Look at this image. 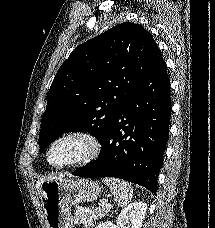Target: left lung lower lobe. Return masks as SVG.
<instances>
[{
	"label": "left lung lower lobe",
	"instance_id": "obj_1",
	"mask_svg": "<svg viewBox=\"0 0 215 228\" xmlns=\"http://www.w3.org/2000/svg\"><path fill=\"white\" fill-rule=\"evenodd\" d=\"M170 80L159 53L152 67L119 109L101 142L97 160L75 170L80 177H116L154 194L169 135Z\"/></svg>",
	"mask_w": 215,
	"mask_h": 228
}]
</instances>
